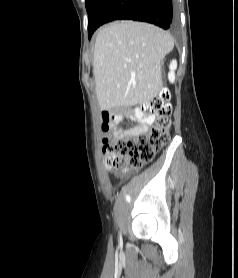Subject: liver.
Wrapping results in <instances>:
<instances>
[{
  "mask_svg": "<svg viewBox=\"0 0 238 278\" xmlns=\"http://www.w3.org/2000/svg\"><path fill=\"white\" fill-rule=\"evenodd\" d=\"M173 47L168 32L148 23L120 21L100 28L93 59L100 109L144 105L157 97L161 61Z\"/></svg>",
  "mask_w": 238,
  "mask_h": 278,
  "instance_id": "1",
  "label": "liver"
}]
</instances>
